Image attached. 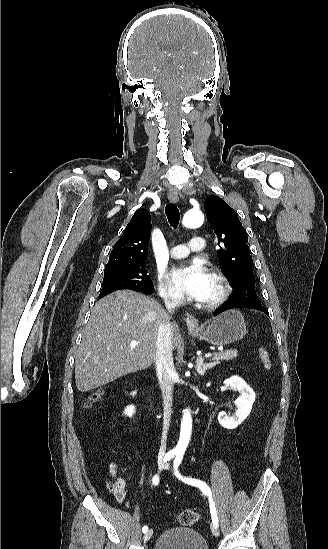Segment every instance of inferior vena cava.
I'll use <instances>...</instances> for the list:
<instances>
[{"label":"inferior vena cava","mask_w":328,"mask_h":549,"mask_svg":"<svg viewBox=\"0 0 328 549\" xmlns=\"http://www.w3.org/2000/svg\"><path fill=\"white\" fill-rule=\"evenodd\" d=\"M164 303L169 315H172L175 309H177V307H179L180 305V301H178V299H165ZM169 315L167 317L168 323H163L158 331L157 351L155 359L157 375L159 377L160 387L162 391L164 411L163 433L158 453L159 459H162V457H164L167 449L166 441L169 431L170 417L172 413L171 407L173 401L174 365L172 357L173 345L170 325L171 317H169Z\"/></svg>","instance_id":"obj_1"}]
</instances>
